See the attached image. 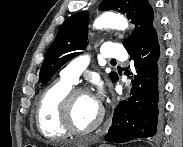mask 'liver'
<instances>
[{"label":"liver","instance_id":"1","mask_svg":"<svg viewBox=\"0 0 183 147\" xmlns=\"http://www.w3.org/2000/svg\"><path fill=\"white\" fill-rule=\"evenodd\" d=\"M73 145H80L78 142H65L63 146H73Z\"/></svg>","mask_w":183,"mask_h":147}]
</instances>
